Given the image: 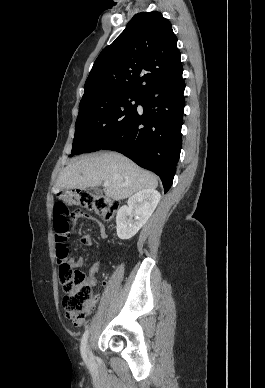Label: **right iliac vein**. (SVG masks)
I'll use <instances>...</instances> for the list:
<instances>
[{
  "mask_svg": "<svg viewBox=\"0 0 265 388\" xmlns=\"http://www.w3.org/2000/svg\"><path fill=\"white\" fill-rule=\"evenodd\" d=\"M87 354H88V356H89V359L91 360V359H92V351H91L89 345H88V347H87Z\"/></svg>",
  "mask_w": 265,
  "mask_h": 388,
  "instance_id": "obj_1",
  "label": "right iliac vein"
}]
</instances>
